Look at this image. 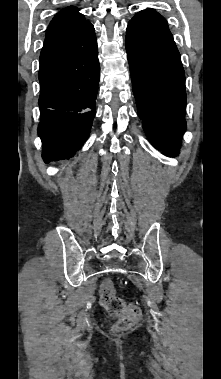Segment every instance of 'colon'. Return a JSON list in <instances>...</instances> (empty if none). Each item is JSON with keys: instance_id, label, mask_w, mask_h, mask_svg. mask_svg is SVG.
<instances>
[{"instance_id": "5ec220e1", "label": "colon", "mask_w": 221, "mask_h": 379, "mask_svg": "<svg viewBox=\"0 0 221 379\" xmlns=\"http://www.w3.org/2000/svg\"><path fill=\"white\" fill-rule=\"evenodd\" d=\"M99 295L102 307L111 316L120 317L115 324L116 330H128L140 320V308L127 304L122 298L118 297L110 279L102 282Z\"/></svg>"}]
</instances>
